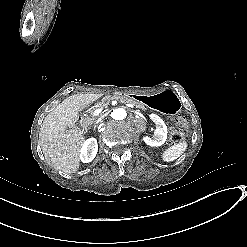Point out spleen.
I'll return each instance as SVG.
<instances>
[{
  "label": "spleen",
  "instance_id": "obj_1",
  "mask_svg": "<svg viewBox=\"0 0 247 247\" xmlns=\"http://www.w3.org/2000/svg\"><path fill=\"white\" fill-rule=\"evenodd\" d=\"M187 142L182 141L176 144H173L168 149H166L162 154V159L165 162H171L176 160L184 153V151L187 149Z\"/></svg>",
  "mask_w": 247,
  "mask_h": 247
}]
</instances>
